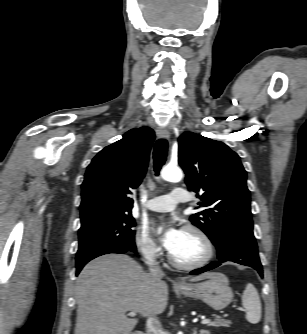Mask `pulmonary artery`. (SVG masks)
I'll use <instances>...</instances> for the list:
<instances>
[{
    "label": "pulmonary artery",
    "mask_w": 307,
    "mask_h": 334,
    "mask_svg": "<svg viewBox=\"0 0 307 334\" xmlns=\"http://www.w3.org/2000/svg\"><path fill=\"white\" fill-rule=\"evenodd\" d=\"M188 200L185 189L175 188L169 194L152 198L148 201L146 207L155 212H168L173 210L178 203Z\"/></svg>",
    "instance_id": "obj_1"
}]
</instances>
